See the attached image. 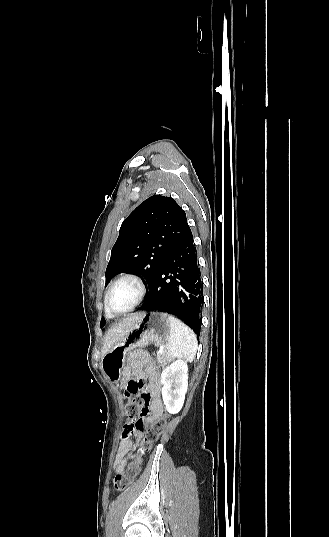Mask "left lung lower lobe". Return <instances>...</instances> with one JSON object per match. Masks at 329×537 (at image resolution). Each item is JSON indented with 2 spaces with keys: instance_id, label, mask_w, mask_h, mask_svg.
<instances>
[{
  "instance_id": "obj_1",
  "label": "left lung lower lobe",
  "mask_w": 329,
  "mask_h": 537,
  "mask_svg": "<svg viewBox=\"0 0 329 537\" xmlns=\"http://www.w3.org/2000/svg\"><path fill=\"white\" fill-rule=\"evenodd\" d=\"M202 295L201 272L190 231L159 266L138 310L173 314L199 337Z\"/></svg>"
}]
</instances>
